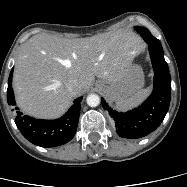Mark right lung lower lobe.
<instances>
[{
	"instance_id": "1",
	"label": "right lung lower lobe",
	"mask_w": 187,
	"mask_h": 187,
	"mask_svg": "<svg viewBox=\"0 0 187 187\" xmlns=\"http://www.w3.org/2000/svg\"><path fill=\"white\" fill-rule=\"evenodd\" d=\"M12 68L7 88V101L9 105L15 106L14 92L12 88ZM82 97L74 100V104L67 113L56 120H40L24 115L18 107H15V124L22 135L31 143L41 147H56L70 141L77 130L80 102Z\"/></svg>"
}]
</instances>
